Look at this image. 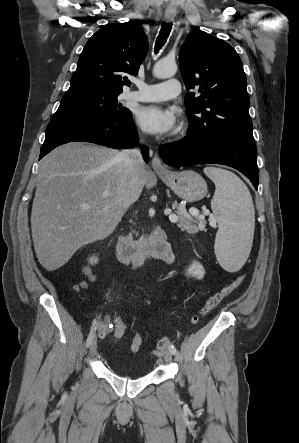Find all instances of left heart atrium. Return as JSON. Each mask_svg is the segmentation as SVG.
<instances>
[{
    "label": "left heart atrium",
    "mask_w": 299,
    "mask_h": 443,
    "mask_svg": "<svg viewBox=\"0 0 299 443\" xmlns=\"http://www.w3.org/2000/svg\"><path fill=\"white\" fill-rule=\"evenodd\" d=\"M138 124L146 131L165 135L173 132L177 127V115L173 109L159 105L141 107L136 115Z\"/></svg>",
    "instance_id": "left-heart-atrium-1"
}]
</instances>
